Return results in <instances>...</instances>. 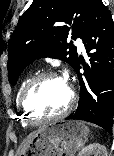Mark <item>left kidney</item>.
Here are the masks:
<instances>
[{
  "label": "left kidney",
  "mask_w": 114,
  "mask_h": 156,
  "mask_svg": "<svg viewBox=\"0 0 114 156\" xmlns=\"http://www.w3.org/2000/svg\"><path fill=\"white\" fill-rule=\"evenodd\" d=\"M106 147L98 143L84 147L77 156H107Z\"/></svg>",
  "instance_id": "left-kidney-1"
}]
</instances>
